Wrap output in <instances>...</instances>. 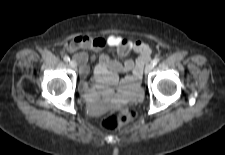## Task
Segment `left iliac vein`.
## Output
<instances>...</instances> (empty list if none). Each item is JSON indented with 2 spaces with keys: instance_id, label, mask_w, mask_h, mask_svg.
<instances>
[{
  "instance_id": "left-iliac-vein-1",
  "label": "left iliac vein",
  "mask_w": 225,
  "mask_h": 155,
  "mask_svg": "<svg viewBox=\"0 0 225 155\" xmlns=\"http://www.w3.org/2000/svg\"><path fill=\"white\" fill-rule=\"evenodd\" d=\"M154 68V64L151 62L145 67V74L150 73Z\"/></svg>"
}]
</instances>
